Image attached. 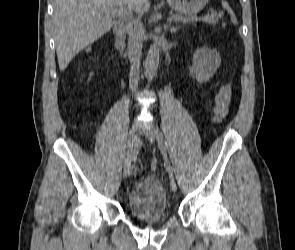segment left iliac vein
Segmentation results:
<instances>
[{
	"label": "left iliac vein",
	"instance_id": "obj_1",
	"mask_svg": "<svg viewBox=\"0 0 295 250\" xmlns=\"http://www.w3.org/2000/svg\"><path fill=\"white\" fill-rule=\"evenodd\" d=\"M145 138L149 142L153 143L155 141V138H156L155 129L152 128V127H149L147 129L146 133H145ZM170 187H171V189L173 191H176L177 190V184H176V182H175V180L173 178L170 180Z\"/></svg>",
	"mask_w": 295,
	"mask_h": 250
}]
</instances>
